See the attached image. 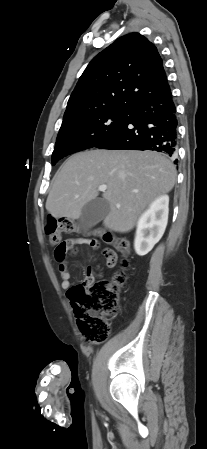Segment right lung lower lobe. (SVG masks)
Masks as SVG:
<instances>
[{
  "mask_svg": "<svg viewBox=\"0 0 207 449\" xmlns=\"http://www.w3.org/2000/svg\"><path fill=\"white\" fill-rule=\"evenodd\" d=\"M176 106L171 91L133 108L121 129L95 147L101 149L152 150L176 156ZM177 163V159L174 161Z\"/></svg>",
  "mask_w": 207,
  "mask_h": 449,
  "instance_id": "right-lung-lower-lobe-1",
  "label": "right lung lower lobe"
}]
</instances>
